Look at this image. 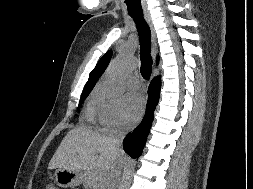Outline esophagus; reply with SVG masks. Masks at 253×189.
<instances>
[{"mask_svg": "<svg viewBox=\"0 0 253 189\" xmlns=\"http://www.w3.org/2000/svg\"><path fill=\"white\" fill-rule=\"evenodd\" d=\"M144 18H145V21L147 22V24L150 28V31H151L152 55H153V57H155L156 53H157V48H158L156 31H155V28H154V25H153V22H152L150 16L144 15Z\"/></svg>", "mask_w": 253, "mask_h": 189, "instance_id": "obj_1", "label": "esophagus"}]
</instances>
